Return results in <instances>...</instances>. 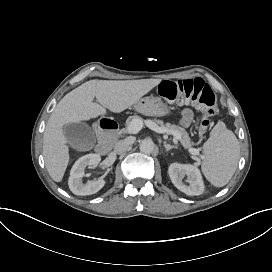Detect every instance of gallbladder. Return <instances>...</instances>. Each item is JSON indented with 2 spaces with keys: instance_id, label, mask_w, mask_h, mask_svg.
Here are the masks:
<instances>
[{
  "instance_id": "obj_1",
  "label": "gallbladder",
  "mask_w": 272,
  "mask_h": 272,
  "mask_svg": "<svg viewBox=\"0 0 272 272\" xmlns=\"http://www.w3.org/2000/svg\"><path fill=\"white\" fill-rule=\"evenodd\" d=\"M68 143L76 149H92L97 143L92 128L84 123H69L63 128Z\"/></svg>"
}]
</instances>
